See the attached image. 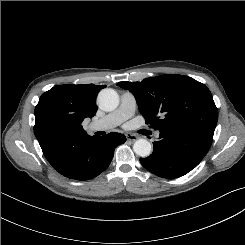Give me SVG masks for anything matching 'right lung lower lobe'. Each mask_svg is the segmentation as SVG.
I'll use <instances>...</instances> for the list:
<instances>
[{"instance_id": "1", "label": "right lung lower lobe", "mask_w": 245, "mask_h": 245, "mask_svg": "<svg viewBox=\"0 0 245 245\" xmlns=\"http://www.w3.org/2000/svg\"><path fill=\"white\" fill-rule=\"evenodd\" d=\"M125 141V135L111 132L67 143L62 149L60 161L52 166L70 179H92L107 169L114 156V149Z\"/></svg>"}]
</instances>
